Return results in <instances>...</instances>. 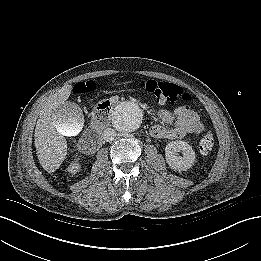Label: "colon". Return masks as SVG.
I'll return each instance as SVG.
<instances>
[{
    "label": "colon",
    "instance_id": "5ec220e1",
    "mask_svg": "<svg viewBox=\"0 0 261 261\" xmlns=\"http://www.w3.org/2000/svg\"><path fill=\"white\" fill-rule=\"evenodd\" d=\"M141 88L150 96L154 98L157 103L166 102H188L191 100V96L183 90L182 87L165 82L156 80H144L141 82ZM95 89L93 82L81 83L75 88L76 93H89ZM110 103L108 101L101 102L96 105L93 110V116L97 120H104L109 111ZM214 146V137L211 128L208 126L206 134L201 138L199 142V148L202 153H209Z\"/></svg>",
    "mask_w": 261,
    "mask_h": 261
}]
</instances>
